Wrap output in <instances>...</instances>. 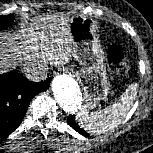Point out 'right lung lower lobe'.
<instances>
[{
  "instance_id": "obj_1",
  "label": "right lung lower lobe",
  "mask_w": 153,
  "mask_h": 153,
  "mask_svg": "<svg viewBox=\"0 0 153 153\" xmlns=\"http://www.w3.org/2000/svg\"><path fill=\"white\" fill-rule=\"evenodd\" d=\"M48 86V79L32 82L17 73L0 74V138L7 137L17 129L30 101Z\"/></svg>"
}]
</instances>
